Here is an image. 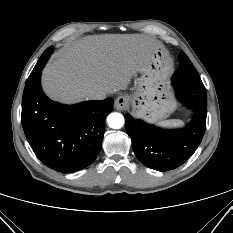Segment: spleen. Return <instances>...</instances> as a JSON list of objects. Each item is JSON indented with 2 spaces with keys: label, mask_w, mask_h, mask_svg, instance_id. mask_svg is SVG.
<instances>
[{
  "label": "spleen",
  "mask_w": 233,
  "mask_h": 233,
  "mask_svg": "<svg viewBox=\"0 0 233 233\" xmlns=\"http://www.w3.org/2000/svg\"><path fill=\"white\" fill-rule=\"evenodd\" d=\"M182 124L183 122L178 119H170V120L161 122V125L164 127H179V126H182Z\"/></svg>",
  "instance_id": "3e777b00"
}]
</instances>
